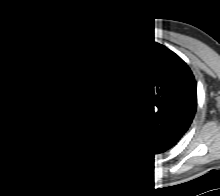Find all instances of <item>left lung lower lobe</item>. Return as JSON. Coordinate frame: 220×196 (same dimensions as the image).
<instances>
[{
	"label": "left lung lower lobe",
	"instance_id": "0a47b994",
	"mask_svg": "<svg viewBox=\"0 0 220 196\" xmlns=\"http://www.w3.org/2000/svg\"><path fill=\"white\" fill-rule=\"evenodd\" d=\"M135 142L139 145L144 154H155L164 152L167 148L155 143L144 134H140Z\"/></svg>",
	"mask_w": 220,
	"mask_h": 196
}]
</instances>
